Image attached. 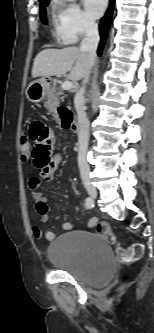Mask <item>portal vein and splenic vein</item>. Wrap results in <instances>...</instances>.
Returning <instances> with one entry per match:
<instances>
[{
	"label": "portal vein and splenic vein",
	"instance_id": "1",
	"mask_svg": "<svg viewBox=\"0 0 154 333\" xmlns=\"http://www.w3.org/2000/svg\"><path fill=\"white\" fill-rule=\"evenodd\" d=\"M73 87V83L71 81H64L62 84H61V88L64 89V90H69Z\"/></svg>",
	"mask_w": 154,
	"mask_h": 333
}]
</instances>
